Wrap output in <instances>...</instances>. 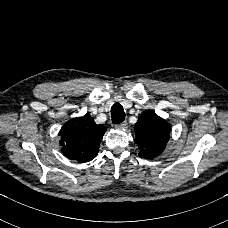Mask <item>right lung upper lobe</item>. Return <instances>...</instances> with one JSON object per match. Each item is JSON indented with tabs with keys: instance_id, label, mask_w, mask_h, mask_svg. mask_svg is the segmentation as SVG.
Instances as JSON below:
<instances>
[{
	"instance_id": "right-lung-upper-lobe-1",
	"label": "right lung upper lobe",
	"mask_w": 228,
	"mask_h": 228,
	"mask_svg": "<svg viewBox=\"0 0 228 228\" xmlns=\"http://www.w3.org/2000/svg\"><path fill=\"white\" fill-rule=\"evenodd\" d=\"M106 128L97 125L93 118L86 114L66 122L59 132L60 145L64 155L78 162H88L98 154Z\"/></svg>"
}]
</instances>
